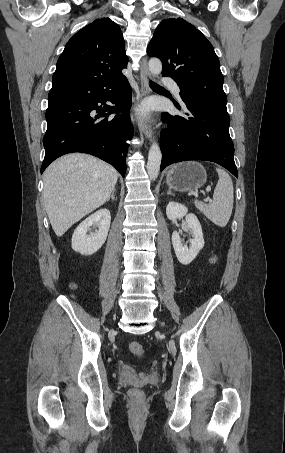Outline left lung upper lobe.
<instances>
[{
	"label": "left lung upper lobe",
	"mask_w": 285,
	"mask_h": 453,
	"mask_svg": "<svg viewBox=\"0 0 285 453\" xmlns=\"http://www.w3.org/2000/svg\"><path fill=\"white\" fill-rule=\"evenodd\" d=\"M147 53L162 61V75L176 81L182 100L199 99L226 105L219 59L211 43L192 24L182 18L163 20Z\"/></svg>",
	"instance_id": "obj_1"
}]
</instances>
